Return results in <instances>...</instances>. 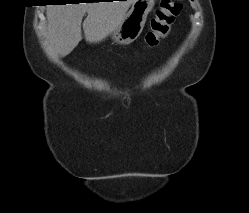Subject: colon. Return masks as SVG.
I'll return each instance as SVG.
<instances>
[{
    "label": "colon",
    "instance_id": "obj_1",
    "mask_svg": "<svg viewBox=\"0 0 249 213\" xmlns=\"http://www.w3.org/2000/svg\"><path fill=\"white\" fill-rule=\"evenodd\" d=\"M182 5L176 0H160L145 35L146 47L155 48L170 31L174 19L181 13Z\"/></svg>",
    "mask_w": 249,
    "mask_h": 213
}]
</instances>
